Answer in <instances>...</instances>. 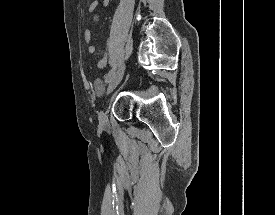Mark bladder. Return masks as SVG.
<instances>
[{
	"label": "bladder",
	"instance_id": "1",
	"mask_svg": "<svg viewBox=\"0 0 275 215\" xmlns=\"http://www.w3.org/2000/svg\"><path fill=\"white\" fill-rule=\"evenodd\" d=\"M95 87H96V89L98 91L99 96L104 97V99H106V97L108 95V90H107V92L104 95V90H105L104 80H100V79L96 80Z\"/></svg>",
	"mask_w": 275,
	"mask_h": 215
}]
</instances>
